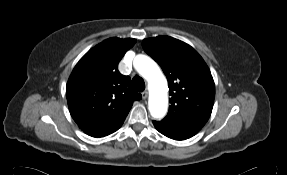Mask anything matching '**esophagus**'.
Masks as SVG:
<instances>
[{"mask_svg":"<svg viewBox=\"0 0 287 175\" xmlns=\"http://www.w3.org/2000/svg\"><path fill=\"white\" fill-rule=\"evenodd\" d=\"M147 97H148V91H143L142 92V98L145 100V99H147Z\"/></svg>","mask_w":287,"mask_h":175,"instance_id":"1","label":"esophagus"}]
</instances>
